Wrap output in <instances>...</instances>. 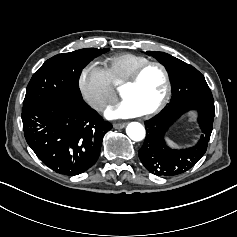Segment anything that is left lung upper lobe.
<instances>
[{
  "label": "left lung upper lobe",
  "instance_id": "left-lung-upper-lobe-1",
  "mask_svg": "<svg viewBox=\"0 0 237 237\" xmlns=\"http://www.w3.org/2000/svg\"><path fill=\"white\" fill-rule=\"evenodd\" d=\"M146 54L162 63L171 77L173 96L164 112L180 105L214 103L204 76L193 66L164 52L147 51ZM164 112L145 122L147 136L139 150V158L151 173L173 176L186 172L194 166L191 162L200 160L207 150L212 131L198 121L202 130L199 142L190 148L171 149L164 136L174 119L168 118Z\"/></svg>",
  "mask_w": 237,
  "mask_h": 237
}]
</instances>
